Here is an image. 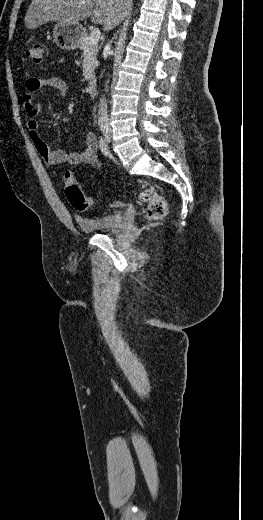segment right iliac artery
I'll return each mask as SVG.
<instances>
[{
	"label": "right iliac artery",
	"mask_w": 263,
	"mask_h": 520,
	"mask_svg": "<svg viewBox=\"0 0 263 520\" xmlns=\"http://www.w3.org/2000/svg\"><path fill=\"white\" fill-rule=\"evenodd\" d=\"M99 147H100L101 152H102L105 156H108V155H109V151H108V148H107L106 142H105V140H104L102 137H99Z\"/></svg>",
	"instance_id": "right-iliac-artery-1"
}]
</instances>
